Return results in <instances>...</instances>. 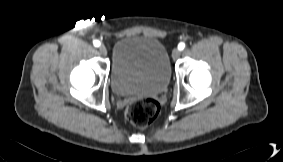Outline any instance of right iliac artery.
I'll return each instance as SVG.
<instances>
[{
    "label": "right iliac artery",
    "instance_id": "right-iliac-artery-1",
    "mask_svg": "<svg viewBox=\"0 0 283 162\" xmlns=\"http://www.w3.org/2000/svg\"><path fill=\"white\" fill-rule=\"evenodd\" d=\"M93 44H94L95 47H99L100 46V42L98 40H95Z\"/></svg>",
    "mask_w": 283,
    "mask_h": 162
}]
</instances>
